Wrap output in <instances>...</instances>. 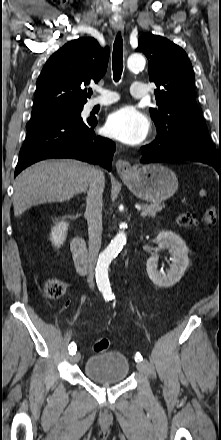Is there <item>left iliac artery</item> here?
Returning a JSON list of instances; mask_svg holds the SVG:
<instances>
[{
  "label": "left iliac artery",
  "mask_w": 221,
  "mask_h": 440,
  "mask_svg": "<svg viewBox=\"0 0 221 440\" xmlns=\"http://www.w3.org/2000/svg\"><path fill=\"white\" fill-rule=\"evenodd\" d=\"M142 360H143L142 355H141L140 353H137V354L135 355V361H136V362H139V361H142Z\"/></svg>",
  "instance_id": "1"
}]
</instances>
